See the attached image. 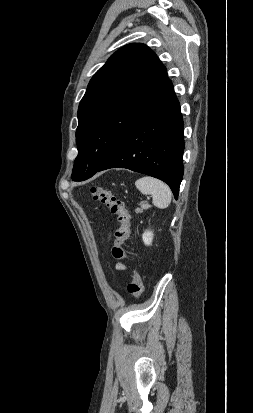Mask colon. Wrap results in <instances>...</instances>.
Returning <instances> with one entry per match:
<instances>
[{
  "mask_svg": "<svg viewBox=\"0 0 253 413\" xmlns=\"http://www.w3.org/2000/svg\"><path fill=\"white\" fill-rule=\"evenodd\" d=\"M90 194L96 201L101 202L109 208L112 215L115 216L118 228L114 233V243L111 247V256L115 260H124L127 258L124 244L130 237V220L131 216L123 201L115 197L110 191L97 186L90 187ZM128 291L136 298H139L143 292L142 278L137 270H132V281L128 284Z\"/></svg>",
  "mask_w": 253,
  "mask_h": 413,
  "instance_id": "obj_1",
  "label": "colon"
}]
</instances>
